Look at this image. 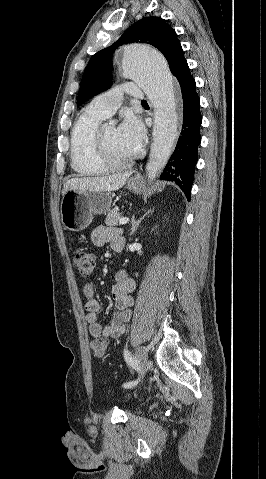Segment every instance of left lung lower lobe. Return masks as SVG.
Wrapping results in <instances>:
<instances>
[{
  "mask_svg": "<svg viewBox=\"0 0 266 479\" xmlns=\"http://www.w3.org/2000/svg\"><path fill=\"white\" fill-rule=\"evenodd\" d=\"M174 76L179 82L183 96V128L161 179L175 182L190 201L194 168L197 163V147L201 141L200 99L187 62L179 67Z\"/></svg>",
  "mask_w": 266,
  "mask_h": 479,
  "instance_id": "obj_1",
  "label": "left lung lower lobe"
}]
</instances>
